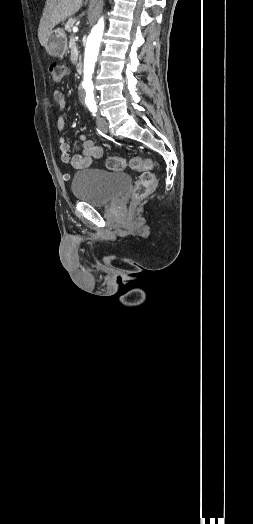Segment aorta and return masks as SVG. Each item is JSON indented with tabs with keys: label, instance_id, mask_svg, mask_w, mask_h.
I'll use <instances>...</instances> for the list:
<instances>
[{
	"label": "aorta",
	"instance_id": "1",
	"mask_svg": "<svg viewBox=\"0 0 253 524\" xmlns=\"http://www.w3.org/2000/svg\"><path fill=\"white\" fill-rule=\"evenodd\" d=\"M104 31L103 19L92 28L88 38L84 56V70L82 87L86 92V101L94 100V85L92 82V75L94 73L95 62L97 60L100 43Z\"/></svg>",
	"mask_w": 253,
	"mask_h": 524
}]
</instances>
